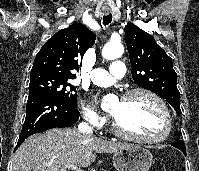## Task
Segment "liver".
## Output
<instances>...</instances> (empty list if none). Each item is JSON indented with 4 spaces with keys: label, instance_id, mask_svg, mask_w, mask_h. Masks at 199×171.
Returning a JSON list of instances; mask_svg holds the SVG:
<instances>
[{
    "label": "liver",
    "instance_id": "6515ba94",
    "mask_svg": "<svg viewBox=\"0 0 199 171\" xmlns=\"http://www.w3.org/2000/svg\"><path fill=\"white\" fill-rule=\"evenodd\" d=\"M128 146L74 128H54L24 141L13 157L12 171H67L71 164L87 167L95 161L94 152L113 153Z\"/></svg>",
    "mask_w": 199,
    "mask_h": 171
}]
</instances>
